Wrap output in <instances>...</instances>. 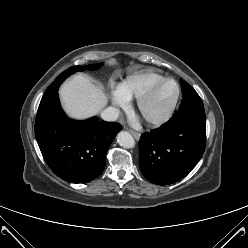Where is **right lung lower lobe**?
Returning <instances> with one entry per match:
<instances>
[{"label":"right lung lower lobe","mask_w":248,"mask_h":248,"mask_svg":"<svg viewBox=\"0 0 248 248\" xmlns=\"http://www.w3.org/2000/svg\"><path fill=\"white\" fill-rule=\"evenodd\" d=\"M122 129L114 122L68 119L61 109L58 93L40 102L35 137L41 153L60 178L71 183H87L103 171L106 153Z\"/></svg>","instance_id":"right-lung-lower-lobe-1"}]
</instances>
